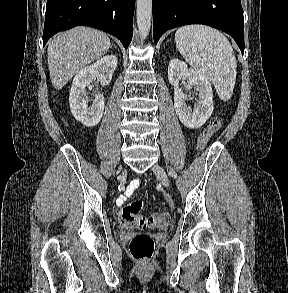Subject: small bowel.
Listing matches in <instances>:
<instances>
[{
    "mask_svg": "<svg viewBox=\"0 0 288 293\" xmlns=\"http://www.w3.org/2000/svg\"><path fill=\"white\" fill-rule=\"evenodd\" d=\"M132 189V187L130 188V190ZM128 190V191H130ZM127 198V194L122 195L119 199H118V204L121 205L123 203L124 200H126Z\"/></svg>",
    "mask_w": 288,
    "mask_h": 293,
    "instance_id": "c3829d8e",
    "label": "small bowel"
}]
</instances>
